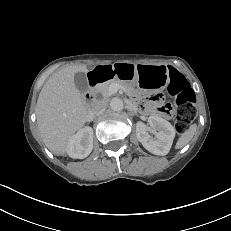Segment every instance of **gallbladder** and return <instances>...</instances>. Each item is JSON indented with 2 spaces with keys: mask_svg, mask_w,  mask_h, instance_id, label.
Returning a JSON list of instances; mask_svg holds the SVG:
<instances>
[{
  "mask_svg": "<svg viewBox=\"0 0 231 231\" xmlns=\"http://www.w3.org/2000/svg\"><path fill=\"white\" fill-rule=\"evenodd\" d=\"M74 82L79 91L84 92L88 89L87 79L83 72H78L74 75Z\"/></svg>",
  "mask_w": 231,
  "mask_h": 231,
  "instance_id": "bac80fb5",
  "label": "gallbladder"
}]
</instances>
